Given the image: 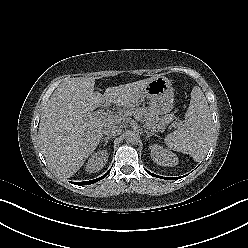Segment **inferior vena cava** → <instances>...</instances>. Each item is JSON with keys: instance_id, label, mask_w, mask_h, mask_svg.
Returning a JSON list of instances; mask_svg holds the SVG:
<instances>
[{"instance_id": "inferior-vena-cava-1", "label": "inferior vena cava", "mask_w": 248, "mask_h": 248, "mask_svg": "<svg viewBox=\"0 0 248 248\" xmlns=\"http://www.w3.org/2000/svg\"><path fill=\"white\" fill-rule=\"evenodd\" d=\"M122 132L121 127L117 124H108L104 127L103 133L109 137H115L120 135Z\"/></svg>"}]
</instances>
